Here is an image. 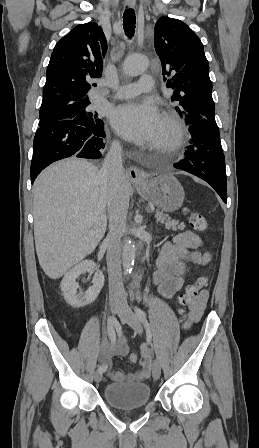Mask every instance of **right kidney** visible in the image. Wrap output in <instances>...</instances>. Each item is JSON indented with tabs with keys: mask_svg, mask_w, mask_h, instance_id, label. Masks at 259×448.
<instances>
[{
	"mask_svg": "<svg viewBox=\"0 0 259 448\" xmlns=\"http://www.w3.org/2000/svg\"><path fill=\"white\" fill-rule=\"evenodd\" d=\"M89 270H97L98 276H95L91 288H88L86 292L78 294L77 288H79V286L76 280L79 278L80 274H86ZM104 282L105 278L103 272H100V270L96 268V264H94L92 260H84V262L76 264L74 268H71V270L65 274L60 284V288L67 304H70L72 308H81V306H87V304H92V302L96 300L104 286Z\"/></svg>",
	"mask_w": 259,
	"mask_h": 448,
	"instance_id": "ca27d5eb",
	"label": "right kidney"
}]
</instances>
